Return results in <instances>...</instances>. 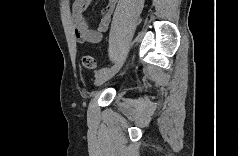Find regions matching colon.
<instances>
[{
  "label": "colon",
  "instance_id": "obj_1",
  "mask_svg": "<svg viewBox=\"0 0 239 156\" xmlns=\"http://www.w3.org/2000/svg\"><path fill=\"white\" fill-rule=\"evenodd\" d=\"M81 62L82 65L89 70H95L97 68L96 60L90 55H83L81 57Z\"/></svg>",
  "mask_w": 239,
  "mask_h": 156
}]
</instances>
